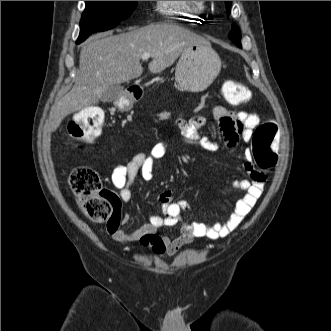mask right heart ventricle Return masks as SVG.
<instances>
[{
    "label": "right heart ventricle",
    "instance_id": "right-heart-ventricle-1",
    "mask_svg": "<svg viewBox=\"0 0 331 331\" xmlns=\"http://www.w3.org/2000/svg\"><path fill=\"white\" fill-rule=\"evenodd\" d=\"M163 15L183 21L198 20L203 10L201 1H157Z\"/></svg>",
    "mask_w": 331,
    "mask_h": 331
}]
</instances>
